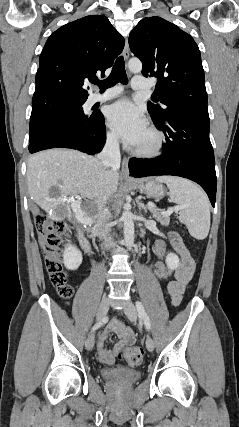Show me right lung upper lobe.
Listing matches in <instances>:
<instances>
[{"mask_svg":"<svg viewBox=\"0 0 239 427\" xmlns=\"http://www.w3.org/2000/svg\"><path fill=\"white\" fill-rule=\"evenodd\" d=\"M123 37L103 15H90L53 32L39 57L33 99L54 95L87 99L85 84L111 67Z\"/></svg>","mask_w":239,"mask_h":427,"instance_id":"obj_1","label":"right lung upper lobe"}]
</instances>
